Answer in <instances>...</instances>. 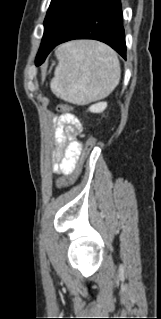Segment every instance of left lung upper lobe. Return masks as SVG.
<instances>
[{
    "instance_id": "5c2ea615",
    "label": "left lung upper lobe",
    "mask_w": 161,
    "mask_h": 319,
    "mask_svg": "<svg viewBox=\"0 0 161 319\" xmlns=\"http://www.w3.org/2000/svg\"><path fill=\"white\" fill-rule=\"evenodd\" d=\"M99 1L51 0L44 20V35L36 57V65L44 62L47 49L60 40Z\"/></svg>"
}]
</instances>
